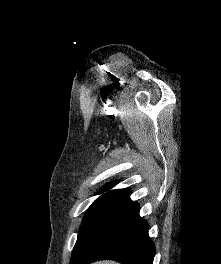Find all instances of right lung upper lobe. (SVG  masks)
<instances>
[{
  "label": "right lung upper lobe",
  "mask_w": 221,
  "mask_h": 264,
  "mask_svg": "<svg viewBox=\"0 0 221 264\" xmlns=\"http://www.w3.org/2000/svg\"><path fill=\"white\" fill-rule=\"evenodd\" d=\"M115 184H117V181H115V182H111V183H108L106 186H104V187L102 188V190L110 189V188L113 187ZM122 190H127V189H122Z\"/></svg>",
  "instance_id": "cb5924a9"
}]
</instances>
